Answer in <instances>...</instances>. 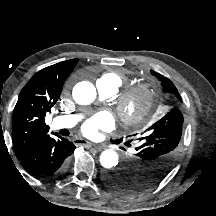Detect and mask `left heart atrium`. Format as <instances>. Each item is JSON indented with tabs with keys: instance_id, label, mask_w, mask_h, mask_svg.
<instances>
[{
	"instance_id": "obj_1",
	"label": "left heart atrium",
	"mask_w": 216,
	"mask_h": 216,
	"mask_svg": "<svg viewBox=\"0 0 216 216\" xmlns=\"http://www.w3.org/2000/svg\"><path fill=\"white\" fill-rule=\"evenodd\" d=\"M113 116L106 112L102 111L95 114L93 117L89 118L82 126L83 132L87 136H96L99 130H110L114 126Z\"/></svg>"
}]
</instances>
